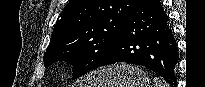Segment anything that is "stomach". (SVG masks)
<instances>
[{
    "label": "stomach",
    "instance_id": "1",
    "mask_svg": "<svg viewBox=\"0 0 205 87\" xmlns=\"http://www.w3.org/2000/svg\"><path fill=\"white\" fill-rule=\"evenodd\" d=\"M80 87H149V78L138 67L120 64L92 72Z\"/></svg>",
    "mask_w": 205,
    "mask_h": 87
}]
</instances>
